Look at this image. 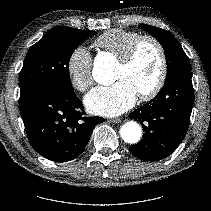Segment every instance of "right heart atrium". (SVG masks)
I'll list each match as a JSON object with an SVG mask.
<instances>
[{
	"label": "right heart atrium",
	"instance_id": "d8ad5b80",
	"mask_svg": "<svg viewBox=\"0 0 211 211\" xmlns=\"http://www.w3.org/2000/svg\"><path fill=\"white\" fill-rule=\"evenodd\" d=\"M67 73L73 88L87 91L93 84L92 57L84 46H77L67 59Z\"/></svg>",
	"mask_w": 211,
	"mask_h": 211
}]
</instances>
